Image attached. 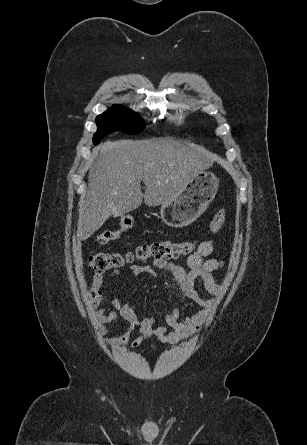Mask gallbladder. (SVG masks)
Segmentation results:
<instances>
[{"label":"gallbladder","mask_w":307,"mask_h":445,"mask_svg":"<svg viewBox=\"0 0 307 445\" xmlns=\"http://www.w3.org/2000/svg\"><path fill=\"white\" fill-rule=\"evenodd\" d=\"M107 218H110V215H107Z\"/></svg>","instance_id":"obj_1"}]
</instances>
